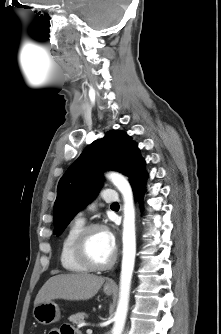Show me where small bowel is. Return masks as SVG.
Returning <instances> with one entry per match:
<instances>
[{"instance_id":"1","label":"small bowel","mask_w":221,"mask_h":334,"mask_svg":"<svg viewBox=\"0 0 221 334\" xmlns=\"http://www.w3.org/2000/svg\"><path fill=\"white\" fill-rule=\"evenodd\" d=\"M49 334H76V332L68 327H61L60 329L52 330Z\"/></svg>"}]
</instances>
